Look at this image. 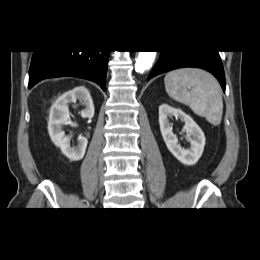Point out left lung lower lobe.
Segmentation results:
<instances>
[{
    "instance_id": "0a47b994",
    "label": "left lung lower lobe",
    "mask_w": 260,
    "mask_h": 260,
    "mask_svg": "<svg viewBox=\"0 0 260 260\" xmlns=\"http://www.w3.org/2000/svg\"><path fill=\"white\" fill-rule=\"evenodd\" d=\"M217 50L202 51H161L157 64L148 76V80L161 73L177 68L195 67L211 72L220 82L225 92V75Z\"/></svg>"
}]
</instances>
